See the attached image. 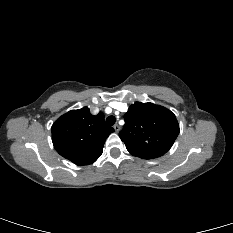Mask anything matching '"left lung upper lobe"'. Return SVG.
Returning a JSON list of instances; mask_svg holds the SVG:
<instances>
[{
	"instance_id": "left-lung-upper-lobe-1",
	"label": "left lung upper lobe",
	"mask_w": 233,
	"mask_h": 233,
	"mask_svg": "<svg viewBox=\"0 0 233 233\" xmlns=\"http://www.w3.org/2000/svg\"><path fill=\"white\" fill-rule=\"evenodd\" d=\"M124 120L119 136L132 155L143 159L163 156L179 134L175 115L153 103L132 104Z\"/></svg>"
}]
</instances>
